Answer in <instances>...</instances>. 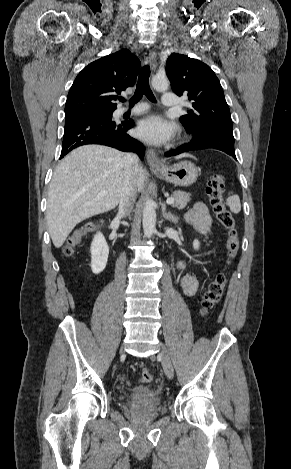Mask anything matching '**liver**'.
<instances>
[{
	"mask_svg": "<svg viewBox=\"0 0 291 469\" xmlns=\"http://www.w3.org/2000/svg\"><path fill=\"white\" fill-rule=\"evenodd\" d=\"M124 156L106 146L85 145L59 163L50 183L46 212L56 248L63 245L78 223L118 205L125 178ZM145 178L146 171L140 166L135 176L137 191L142 190ZM102 191L107 194L100 195Z\"/></svg>",
	"mask_w": 291,
	"mask_h": 469,
	"instance_id": "1",
	"label": "liver"
}]
</instances>
